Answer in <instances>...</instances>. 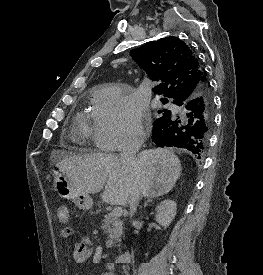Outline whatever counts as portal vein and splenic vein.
Segmentation results:
<instances>
[{"label": "portal vein and splenic vein", "instance_id": "1", "mask_svg": "<svg viewBox=\"0 0 263 275\" xmlns=\"http://www.w3.org/2000/svg\"><path fill=\"white\" fill-rule=\"evenodd\" d=\"M122 213H123V210H122L121 207H116L112 210V215L117 217V218L122 216Z\"/></svg>", "mask_w": 263, "mask_h": 275}]
</instances>
